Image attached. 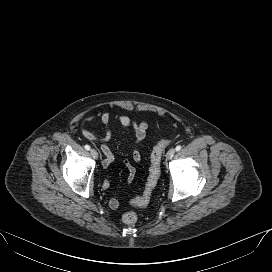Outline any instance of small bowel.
Instances as JSON below:
<instances>
[{
    "label": "small bowel",
    "mask_w": 272,
    "mask_h": 272,
    "mask_svg": "<svg viewBox=\"0 0 272 272\" xmlns=\"http://www.w3.org/2000/svg\"><path fill=\"white\" fill-rule=\"evenodd\" d=\"M111 118L112 113L109 111L102 113V115L100 116V121L105 130L103 136H97L85 128V125L87 123L96 119V115L92 114L87 116L86 118L83 119L81 123V135L92 142L100 144V149L104 156L103 165L105 167H108L114 160V153L107 145V143L111 140L113 135L110 127ZM116 118L119 121V123L130 132L132 144L134 145L139 144L145 139L148 128L147 121L145 120L137 121L132 117L122 113L116 114ZM132 160L136 163L141 161V153L136 147H134L132 150ZM124 166L127 170V182L132 183L136 176L135 166L129 160L124 161ZM109 185H110L109 181L105 180L102 184V187L103 189H108ZM109 207L111 209H117L119 207L118 199L111 198L109 200Z\"/></svg>",
    "instance_id": "small-bowel-1"
}]
</instances>
